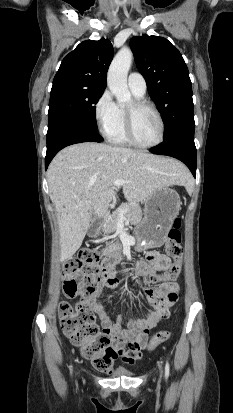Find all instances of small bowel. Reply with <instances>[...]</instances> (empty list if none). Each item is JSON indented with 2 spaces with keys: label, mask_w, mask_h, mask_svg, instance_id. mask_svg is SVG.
I'll list each match as a JSON object with an SVG mask.
<instances>
[{
  "label": "small bowel",
  "mask_w": 233,
  "mask_h": 413,
  "mask_svg": "<svg viewBox=\"0 0 233 413\" xmlns=\"http://www.w3.org/2000/svg\"><path fill=\"white\" fill-rule=\"evenodd\" d=\"M146 256V261L137 262L133 267L135 274L151 275L154 272L165 270L170 265V259L155 249H148ZM117 286L118 280L115 276L104 279L100 282L96 293L84 302L97 314L103 332L110 337L117 357L128 364H135L141 359L142 350L146 347L148 332L169 314L174 304L178 303L179 286L176 282H164L156 290L147 289L145 298L153 309L146 310L141 317L118 315L113 321L99 298L104 291L115 290Z\"/></svg>",
  "instance_id": "1"
}]
</instances>
